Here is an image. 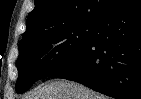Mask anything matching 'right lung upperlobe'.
Returning a JSON list of instances; mask_svg holds the SVG:
<instances>
[{
  "instance_id": "cb5924a9",
  "label": "right lung upper lobe",
  "mask_w": 141,
  "mask_h": 99,
  "mask_svg": "<svg viewBox=\"0 0 141 99\" xmlns=\"http://www.w3.org/2000/svg\"><path fill=\"white\" fill-rule=\"evenodd\" d=\"M123 0H35L20 43L82 21H98Z\"/></svg>"
}]
</instances>
